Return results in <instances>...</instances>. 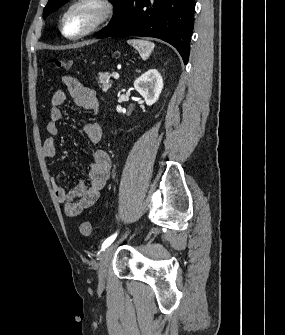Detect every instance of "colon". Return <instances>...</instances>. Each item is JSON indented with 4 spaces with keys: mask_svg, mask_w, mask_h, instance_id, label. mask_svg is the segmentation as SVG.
<instances>
[{
    "mask_svg": "<svg viewBox=\"0 0 285 335\" xmlns=\"http://www.w3.org/2000/svg\"><path fill=\"white\" fill-rule=\"evenodd\" d=\"M55 65L58 68L69 70L72 67V62L69 60L59 59L56 60ZM79 231L83 236H90L93 231L91 223L89 221H81L79 223Z\"/></svg>",
    "mask_w": 285,
    "mask_h": 335,
    "instance_id": "1",
    "label": "colon"
}]
</instances>
